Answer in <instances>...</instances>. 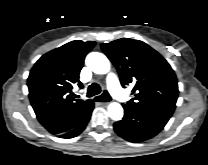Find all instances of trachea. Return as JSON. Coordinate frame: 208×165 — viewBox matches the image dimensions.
I'll return each instance as SVG.
<instances>
[{"label":"trachea","mask_w":208,"mask_h":165,"mask_svg":"<svg viewBox=\"0 0 208 165\" xmlns=\"http://www.w3.org/2000/svg\"><path fill=\"white\" fill-rule=\"evenodd\" d=\"M101 92V88L97 83H92L87 91L86 97H92L98 95ZM110 100L109 94L105 91L101 96L96 97L97 102H107Z\"/></svg>","instance_id":"3493384b"}]
</instances>
